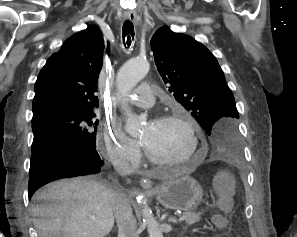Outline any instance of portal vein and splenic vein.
Instances as JSON below:
<instances>
[{"label": "portal vein and splenic vein", "instance_id": "portal-vein-and-splenic-vein-1", "mask_svg": "<svg viewBox=\"0 0 297 237\" xmlns=\"http://www.w3.org/2000/svg\"><path fill=\"white\" fill-rule=\"evenodd\" d=\"M91 219H92V220H95L94 217H91ZM184 219H185V217H184V216H181V217L179 218V221H183Z\"/></svg>", "mask_w": 297, "mask_h": 237}]
</instances>
